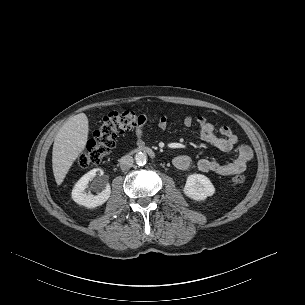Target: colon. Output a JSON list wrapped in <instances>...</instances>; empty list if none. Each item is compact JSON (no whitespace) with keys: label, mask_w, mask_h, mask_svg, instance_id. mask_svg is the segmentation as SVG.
Instances as JSON below:
<instances>
[{"label":"colon","mask_w":305,"mask_h":305,"mask_svg":"<svg viewBox=\"0 0 305 305\" xmlns=\"http://www.w3.org/2000/svg\"><path fill=\"white\" fill-rule=\"evenodd\" d=\"M145 116L130 110L114 111L107 114L93 139L81 153L78 163L83 168L99 164L109 154L115 145L116 138L123 132L131 130L144 122ZM232 182L240 185L245 182L242 174L232 178Z\"/></svg>","instance_id":"colon-1"}]
</instances>
